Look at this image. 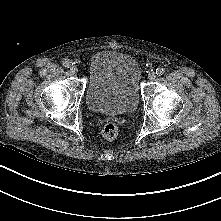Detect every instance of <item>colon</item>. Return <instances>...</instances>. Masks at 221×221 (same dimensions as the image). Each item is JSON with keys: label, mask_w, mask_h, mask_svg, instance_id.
I'll return each mask as SVG.
<instances>
[{"label": "colon", "mask_w": 221, "mask_h": 221, "mask_svg": "<svg viewBox=\"0 0 221 221\" xmlns=\"http://www.w3.org/2000/svg\"><path fill=\"white\" fill-rule=\"evenodd\" d=\"M119 134V128L115 123H106L102 128V135L107 140L115 139Z\"/></svg>", "instance_id": "5ec220e1"}]
</instances>
